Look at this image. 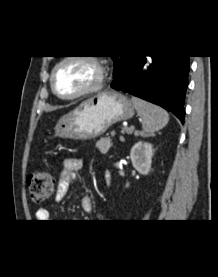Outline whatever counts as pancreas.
I'll use <instances>...</instances> for the list:
<instances>
[{
    "label": "pancreas",
    "instance_id": "1",
    "mask_svg": "<svg viewBox=\"0 0 218 277\" xmlns=\"http://www.w3.org/2000/svg\"><path fill=\"white\" fill-rule=\"evenodd\" d=\"M96 147L99 149V151L102 154H106L110 147H111V139L109 137L107 138H101L97 143Z\"/></svg>",
    "mask_w": 218,
    "mask_h": 277
}]
</instances>
